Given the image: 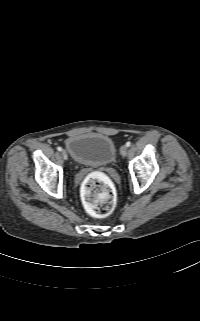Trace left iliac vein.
<instances>
[{
  "label": "left iliac vein",
  "mask_w": 200,
  "mask_h": 321,
  "mask_svg": "<svg viewBox=\"0 0 200 321\" xmlns=\"http://www.w3.org/2000/svg\"><path fill=\"white\" fill-rule=\"evenodd\" d=\"M127 152H128L127 146L126 145L121 146V148H120L121 155L126 156Z\"/></svg>",
  "instance_id": "4c4485c4"
}]
</instances>
